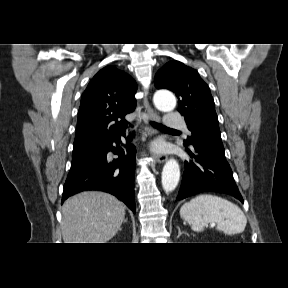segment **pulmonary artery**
<instances>
[{
  "label": "pulmonary artery",
  "instance_id": "obj_1",
  "mask_svg": "<svg viewBox=\"0 0 288 288\" xmlns=\"http://www.w3.org/2000/svg\"><path fill=\"white\" fill-rule=\"evenodd\" d=\"M166 127L171 129L185 128V122L183 117L175 112H169L166 114Z\"/></svg>",
  "mask_w": 288,
  "mask_h": 288
}]
</instances>
